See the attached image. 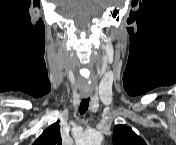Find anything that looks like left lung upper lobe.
I'll return each mask as SVG.
<instances>
[{
	"label": "left lung upper lobe",
	"instance_id": "left-lung-upper-lobe-1",
	"mask_svg": "<svg viewBox=\"0 0 176 145\" xmlns=\"http://www.w3.org/2000/svg\"><path fill=\"white\" fill-rule=\"evenodd\" d=\"M114 145H146L145 141L131 128L125 125H116L113 131Z\"/></svg>",
	"mask_w": 176,
	"mask_h": 145
}]
</instances>
